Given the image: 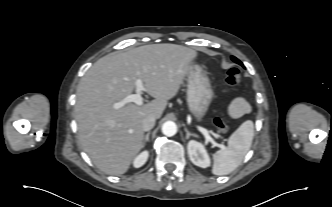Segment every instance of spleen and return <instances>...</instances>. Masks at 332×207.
I'll list each match as a JSON object with an SVG mask.
<instances>
[{"label": "spleen", "mask_w": 332, "mask_h": 207, "mask_svg": "<svg viewBox=\"0 0 332 207\" xmlns=\"http://www.w3.org/2000/svg\"><path fill=\"white\" fill-rule=\"evenodd\" d=\"M253 136L254 124L247 120L229 137L228 146L213 154L212 173L220 176L234 171L249 151Z\"/></svg>", "instance_id": "spleen-1"}]
</instances>
